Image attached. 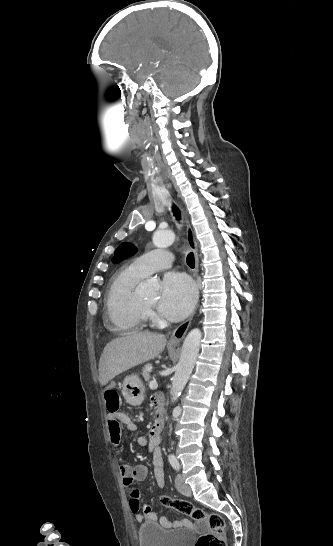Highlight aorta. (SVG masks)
Segmentation results:
<instances>
[{
	"mask_svg": "<svg viewBox=\"0 0 333 546\" xmlns=\"http://www.w3.org/2000/svg\"><path fill=\"white\" fill-rule=\"evenodd\" d=\"M175 238L176 236L172 231L161 230L154 233L153 243L158 248H166L175 241ZM201 337V331L199 329H193L188 333L184 340L181 356L172 378L170 392L172 403L176 402L179 398L193 371L199 352Z\"/></svg>",
	"mask_w": 333,
	"mask_h": 546,
	"instance_id": "762f6f07",
	"label": "aorta"
}]
</instances>
